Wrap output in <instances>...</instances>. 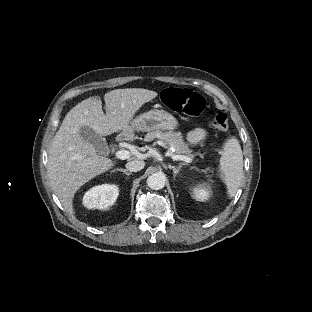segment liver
Returning <instances> with one entry per match:
<instances>
[{"mask_svg":"<svg viewBox=\"0 0 312 312\" xmlns=\"http://www.w3.org/2000/svg\"><path fill=\"white\" fill-rule=\"evenodd\" d=\"M157 96V92L143 88L114 89L104 94L106 115L97 97L83 100L65 115L49 147L47 172L55 195L69 214H75L78 191L116 165L97 155L81 138L80 130L90 127L101 136L125 135L137 112Z\"/></svg>","mask_w":312,"mask_h":312,"instance_id":"6515ba94","label":"liver"}]
</instances>
